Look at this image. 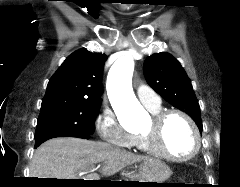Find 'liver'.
<instances>
[{"label": "liver", "instance_id": "obj_1", "mask_svg": "<svg viewBox=\"0 0 240 187\" xmlns=\"http://www.w3.org/2000/svg\"><path fill=\"white\" fill-rule=\"evenodd\" d=\"M150 159L103 142L59 137L46 141L35 151L30 178L78 179L80 173H88L96 164L101 166L103 175L109 176L126 166ZM85 178L95 177L88 174Z\"/></svg>", "mask_w": 240, "mask_h": 187}]
</instances>
